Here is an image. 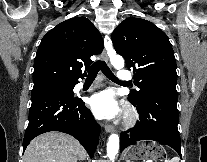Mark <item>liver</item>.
<instances>
[{
    "label": "liver",
    "mask_w": 207,
    "mask_h": 162,
    "mask_svg": "<svg viewBox=\"0 0 207 162\" xmlns=\"http://www.w3.org/2000/svg\"><path fill=\"white\" fill-rule=\"evenodd\" d=\"M87 153L78 140L61 132H47L34 138L27 146L23 162H77Z\"/></svg>",
    "instance_id": "6515ba94"
}]
</instances>
